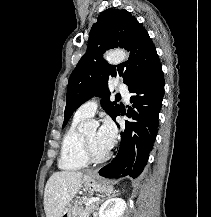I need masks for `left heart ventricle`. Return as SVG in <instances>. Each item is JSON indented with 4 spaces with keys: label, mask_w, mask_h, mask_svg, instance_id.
<instances>
[{
    "label": "left heart ventricle",
    "mask_w": 211,
    "mask_h": 217,
    "mask_svg": "<svg viewBox=\"0 0 211 217\" xmlns=\"http://www.w3.org/2000/svg\"><path fill=\"white\" fill-rule=\"evenodd\" d=\"M84 134L95 154L101 155L108 151L98 143L96 129H91Z\"/></svg>",
    "instance_id": "left-heart-ventricle-1"
}]
</instances>
